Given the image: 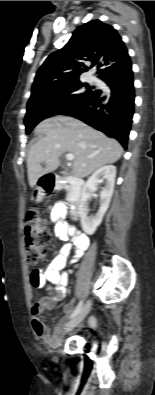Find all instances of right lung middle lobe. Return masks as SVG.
I'll return each mask as SVG.
<instances>
[{
	"label": "right lung middle lobe",
	"mask_w": 155,
	"mask_h": 395,
	"mask_svg": "<svg viewBox=\"0 0 155 395\" xmlns=\"http://www.w3.org/2000/svg\"><path fill=\"white\" fill-rule=\"evenodd\" d=\"M82 87H86L87 91L82 92ZM91 93L92 88L78 79L49 85L32 95L28 101L24 119L26 134H29L43 119L61 114Z\"/></svg>",
	"instance_id": "obj_1"
}]
</instances>
